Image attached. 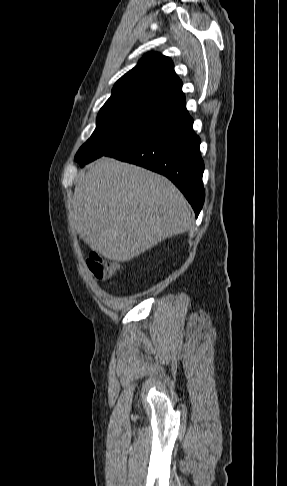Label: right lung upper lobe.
I'll return each mask as SVG.
<instances>
[{"mask_svg": "<svg viewBox=\"0 0 287 486\" xmlns=\"http://www.w3.org/2000/svg\"><path fill=\"white\" fill-rule=\"evenodd\" d=\"M150 105L175 112L186 107L182 81L173 62L159 53L146 54L114 85L104 106Z\"/></svg>", "mask_w": 287, "mask_h": 486, "instance_id": "right-lung-upper-lobe-1", "label": "right lung upper lobe"}]
</instances>
